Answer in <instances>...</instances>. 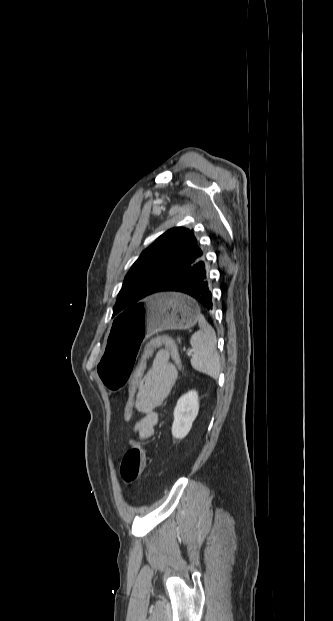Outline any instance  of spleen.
Returning a JSON list of instances; mask_svg holds the SVG:
<instances>
[{
	"label": "spleen",
	"mask_w": 333,
	"mask_h": 621,
	"mask_svg": "<svg viewBox=\"0 0 333 621\" xmlns=\"http://www.w3.org/2000/svg\"><path fill=\"white\" fill-rule=\"evenodd\" d=\"M200 330L190 338L194 350L191 365L194 370L217 379L220 374V357L216 349V333L202 316L199 319Z\"/></svg>",
	"instance_id": "obj_1"
}]
</instances>
